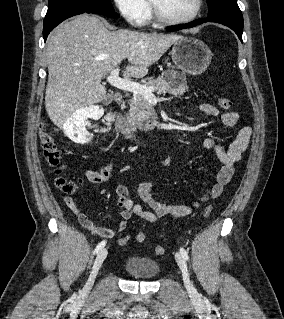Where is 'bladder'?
<instances>
[{"mask_svg": "<svg viewBox=\"0 0 284 319\" xmlns=\"http://www.w3.org/2000/svg\"><path fill=\"white\" fill-rule=\"evenodd\" d=\"M123 267L128 275L140 280L154 279L160 271L159 263L156 260L142 256L127 257Z\"/></svg>", "mask_w": 284, "mask_h": 319, "instance_id": "1", "label": "bladder"}]
</instances>
